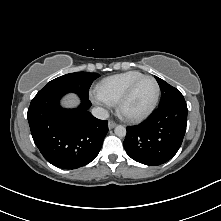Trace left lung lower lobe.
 Segmentation results:
<instances>
[{
	"instance_id": "1",
	"label": "left lung lower lobe",
	"mask_w": 221,
	"mask_h": 221,
	"mask_svg": "<svg viewBox=\"0 0 221 221\" xmlns=\"http://www.w3.org/2000/svg\"><path fill=\"white\" fill-rule=\"evenodd\" d=\"M187 125V104L176 101L159 106L138 126L127 127L124 148L129 157L145 165H160L179 150Z\"/></svg>"
}]
</instances>
